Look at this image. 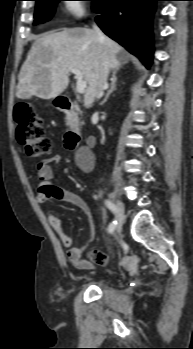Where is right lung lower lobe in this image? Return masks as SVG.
Returning <instances> with one entry per match:
<instances>
[{
    "label": "right lung lower lobe",
    "instance_id": "1",
    "mask_svg": "<svg viewBox=\"0 0 193 349\" xmlns=\"http://www.w3.org/2000/svg\"><path fill=\"white\" fill-rule=\"evenodd\" d=\"M159 0H98L96 23L147 67L153 59L152 16Z\"/></svg>",
    "mask_w": 193,
    "mask_h": 349
}]
</instances>
